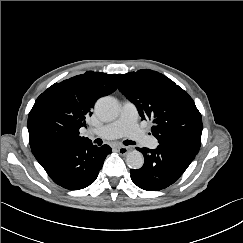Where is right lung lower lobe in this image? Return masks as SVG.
<instances>
[{
	"label": "right lung lower lobe",
	"instance_id": "1",
	"mask_svg": "<svg viewBox=\"0 0 243 243\" xmlns=\"http://www.w3.org/2000/svg\"><path fill=\"white\" fill-rule=\"evenodd\" d=\"M32 153L49 177L69 190L83 189L92 184L111 148L94 146L92 142L69 144L57 141L42 142Z\"/></svg>",
	"mask_w": 243,
	"mask_h": 243
}]
</instances>
